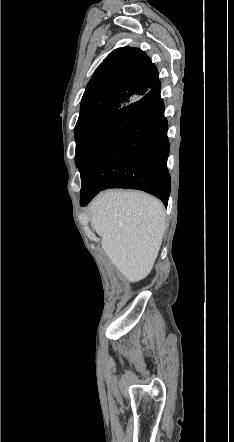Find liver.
<instances>
[{
	"label": "liver",
	"mask_w": 234,
	"mask_h": 442,
	"mask_svg": "<svg viewBox=\"0 0 234 442\" xmlns=\"http://www.w3.org/2000/svg\"><path fill=\"white\" fill-rule=\"evenodd\" d=\"M88 208L112 264L130 282L144 279L153 268L166 229L163 204L139 191L106 190Z\"/></svg>",
	"instance_id": "1"
}]
</instances>
